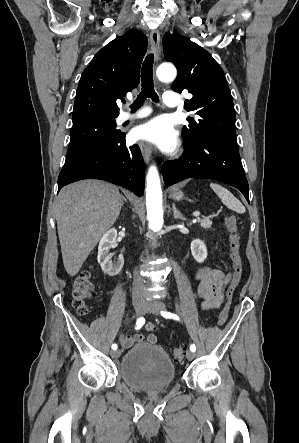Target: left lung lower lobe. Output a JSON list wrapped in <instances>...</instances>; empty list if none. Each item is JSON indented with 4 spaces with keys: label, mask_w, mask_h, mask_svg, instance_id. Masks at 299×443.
<instances>
[{
    "label": "left lung lower lobe",
    "mask_w": 299,
    "mask_h": 443,
    "mask_svg": "<svg viewBox=\"0 0 299 443\" xmlns=\"http://www.w3.org/2000/svg\"><path fill=\"white\" fill-rule=\"evenodd\" d=\"M184 146L178 160L168 161L162 167L166 186L187 178H210L236 187L249 202V186L236 143L206 137L196 142L185 141Z\"/></svg>",
    "instance_id": "1"
}]
</instances>
